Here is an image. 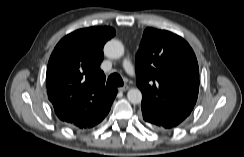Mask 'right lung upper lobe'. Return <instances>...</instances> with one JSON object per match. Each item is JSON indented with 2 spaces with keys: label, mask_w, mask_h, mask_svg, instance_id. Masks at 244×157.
<instances>
[{
  "label": "right lung upper lobe",
  "mask_w": 244,
  "mask_h": 157,
  "mask_svg": "<svg viewBox=\"0 0 244 157\" xmlns=\"http://www.w3.org/2000/svg\"><path fill=\"white\" fill-rule=\"evenodd\" d=\"M115 35L111 27H90L65 36L49 59L46 87L48 98L60 120L87 129L108 114L117 94L105 86L99 65L103 46Z\"/></svg>",
  "instance_id": "right-lung-upper-lobe-1"
}]
</instances>
